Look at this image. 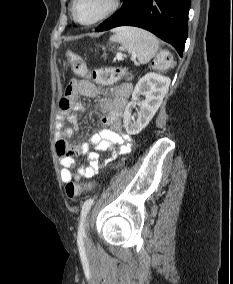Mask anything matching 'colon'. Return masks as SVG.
Wrapping results in <instances>:
<instances>
[{
    "label": "colon",
    "instance_id": "1",
    "mask_svg": "<svg viewBox=\"0 0 233 284\" xmlns=\"http://www.w3.org/2000/svg\"><path fill=\"white\" fill-rule=\"evenodd\" d=\"M67 65L72 71L82 77H89L94 82L102 85H109L117 82L126 75V70L118 67H103L90 72L85 64L83 58L73 51H68L65 55ZM174 64L172 54L167 50H162L158 53L152 62V67L158 72H165L170 69ZM92 183L77 184L69 182L66 185V195L68 198L73 199L81 193L92 189Z\"/></svg>",
    "mask_w": 233,
    "mask_h": 284
}]
</instances>
